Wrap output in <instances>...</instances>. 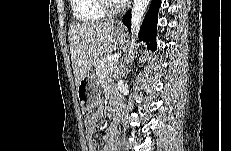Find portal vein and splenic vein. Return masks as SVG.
Instances as JSON below:
<instances>
[{
	"mask_svg": "<svg viewBox=\"0 0 231 151\" xmlns=\"http://www.w3.org/2000/svg\"><path fill=\"white\" fill-rule=\"evenodd\" d=\"M119 57H120L119 54H113V55L109 56L108 61L109 62L117 61Z\"/></svg>",
	"mask_w": 231,
	"mask_h": 151,
	"instance_id": "1",
	"label": "portal vein and splenic vein"
}]
</instances>
